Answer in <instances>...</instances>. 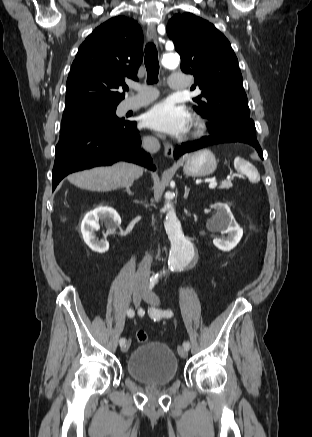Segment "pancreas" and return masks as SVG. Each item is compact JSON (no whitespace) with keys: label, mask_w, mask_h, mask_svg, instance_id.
I'll list each match as a JSON object with an SVG mask.
<instances>
[{"label":"pancreas","mask_w":312,"mask_h":437,"mask_svg":"<svg viewBox=\"0 0 312 437\" xmlns=\"http://www.w3.org/2000/svg\"><path fill=\"white\" fill-rule=\"evenodd\" d=\"M231 187H232V182L231 181H224L219 186L220 189H230Z\"/></svg>","instance_id":"obj_1"}]
</instances>
